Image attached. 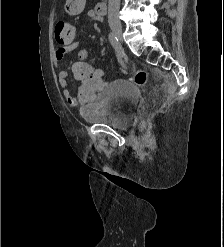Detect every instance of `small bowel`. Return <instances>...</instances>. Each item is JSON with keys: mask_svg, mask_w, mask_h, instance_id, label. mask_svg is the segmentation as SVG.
Here are the masks:
<instances>
[{"mask_svg": "<svg viewBox=\"0 0 224 247\" xmlns=\"http://www.w3.org/2000/svg\"><path fill=\"white\" fill-rule=\"evenodd\" d=\"M85 0H66L65 10L70 15H79L84 8ZM85 19L88 21H101L102 17L93 9L88 10L85 13ZM59 47L55 50V59L62 60L63 57L70 51L76 50L80 47V44L75 40H69L65 42H60ZM58 82L61 88H63V96L67 103L70 105H75V98L71 95L68 86V72L62 70L58 73Z\"/></svg>", "mask_w": 224, "mask_h": 247, "instance_id": "1", "label": "small bowel"}]
</instances>
